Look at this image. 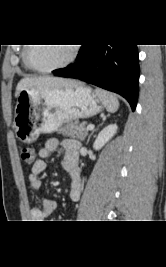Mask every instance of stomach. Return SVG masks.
<instances>
[{
	"instance_id": "1",
	"label": "stomach",
	"mask_w": 166,
	"mask_h": 267,
	"mask_svg": "<svg viewBox=\"0 0 166 267\" xmlns=\"http://www.w3.org/2000/svg\"><path fill=\"white\" fill-rule=\"evenodd\" d=\"M103 110V103L89 87L26 88L18 96L13 126L16 137L32 143L42 133H52L62 124L92 117Z\"/></svg>"
}]
</instances>
